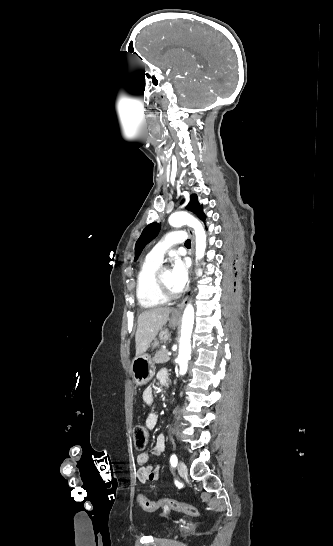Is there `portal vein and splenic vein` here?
Returning a JSON list of instances; mask_svg holds the SVG:
<instances>
[{
    "instance_id": "obj_1",
    "label": "portal vein and splenic vein",
    "mask_w": 333,
    "mask_h": 546,
    "mask_svg": "<svg viewBox=\"0 0 333 546\" xmlns=\"http://www.w3.org/2000/svg\"><path fill=\"white\" fill-rule=\"evenodd\" d=\"M167 355H168V356H171V355H172V352L169 351V352L167 353Z\"/></svg>"
}]
</instances>
